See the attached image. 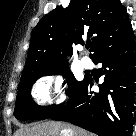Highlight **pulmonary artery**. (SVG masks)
<instances>
[{
	"instance_id": "pulmonary-artery-1",
	"label": "pulmonary artery",
	"mask_w": 136,
	"mask_h": 136,
	"mask_svg": "<svg viewBox=\"0 0 136 136\" xmlns=\"http://www.w3.org/2000/svg\"><path fill=\"white\" fill-rule=\"evenodd\" d=\"M81 64L84 68H90L92 66V61L88 57H82Z\"/></svg>"
}]
</instances>
